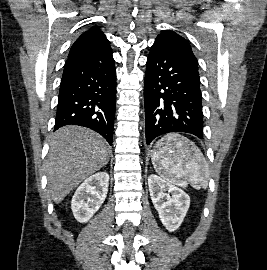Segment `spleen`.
<instances>
[{
  "mask_svg": "<svg viewBox=\"0 0 267 270\" xmlns=\"http://www.w3.org/2000/svg\"><path fill=\"white\" fill-rule=\"evenodd\" d=\"M156 172L172 184L195 189L208 184V164L199 148L180 134L161 138L151 154Z\"/></svg>",
  "mask_w": 267,
  "mask_h": 270,
  "instance_id": "obj_1",
  "label": "spleen"
}]
</instances>
